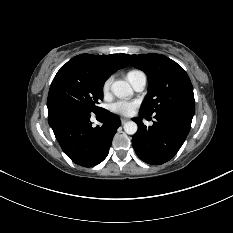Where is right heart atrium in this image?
Instances as JSON below:
<instances>
[{"label":"right heart atrium","instance_id":"obj_1","mask_svg":"<svg viewBox=\"0 0 233 233\" xmlns=\"http://www.w3.org/2000/svg\"><path fill=\"white\" fill-rule=\"evenodd\" d=\"M110 85H111V78L106 79L102 85V92L105 96L109 94Z\"/></svg>","mask_w":233,"mask_h":233}]
</instances>
